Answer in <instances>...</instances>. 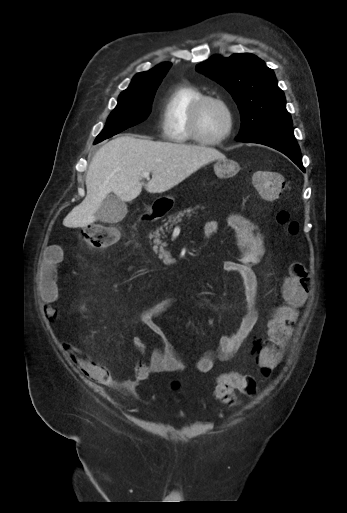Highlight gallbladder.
<instances>
[{
  "label": "gallbladder",
  "instance_id": "gallbladder-1",
  "mask_svg": "<svg viewBox=\"0 0 347 513\" xmlns=\"http://www.w3.org/2000/svg\"><path fill=\"white\" fill-rule=\"evenodd\" d=\"M126 214L125 202L116 195L110 194L103 200L95 215L101 222L114 224L122 221Z\"/></svg>",
  "mask_w": 347,
  "mask_h": 513
}]
</instances>
